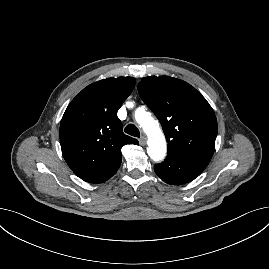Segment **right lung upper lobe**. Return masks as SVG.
Returning <instances> with one entry per match:
<instances>
[{"label": "right lung upper lobe", "mask_w": 269, "mask_h": 269, "mask_svg": "<svg viewBox=\"0 0 269 269\" xmlns=\"http://www.w3.org/2000/svg\"><path fill=\"white\" fill-rule=\"evenodd\" d=\"M133 77L107 78L84 88L60 123L63 157L82 180L102 183L121 165V148L138 141L123 133L117 110L135 87Z\"/></svg>", "instance_id": "1"}]
</instances>
